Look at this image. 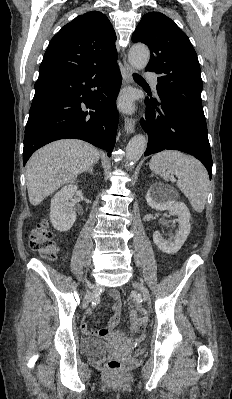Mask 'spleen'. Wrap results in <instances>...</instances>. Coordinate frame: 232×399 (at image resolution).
<instances>
[{"mask_svg": "<svg viewBox=\"0 0 232 399\" xmlns=\"http://www.w3.org/2000/svg\"><path fill=\"white\" fill-rule=\"evenodd\" d=\"M149 168L166 182L170 180V172L175 174L179 190L188 198L195 211H203L209 192V176L199 160L176 150H166L152 156Z\"/></svg>", "mask_w": 232, "mask_h": 399, "instance_id": "1", "label": "spleen"}]
</instances>
